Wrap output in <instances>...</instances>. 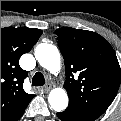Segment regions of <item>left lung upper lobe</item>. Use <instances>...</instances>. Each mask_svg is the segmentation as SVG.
I'll list each match as a JSON object with an SVG mask.
<instances>
[{
  "mask_svg": "<svg viewBox=\"0 0 121 121\" xmlns=\"http://www.w3.org/2000/svg\"><path fill=\"white\" fill-rule=\"evenodd\" d=\"M55 34L65 64L66 111L94 121L110 106L120 85L116 54L108 41L92 31L64 27Z\"/></svg>",
  "mask_w": 121,
  "mask_h": 121,
  "instance_id": "left-lung-upper-lobe-1",
  "label": "left lung upper lobe"
}]
</instances>
